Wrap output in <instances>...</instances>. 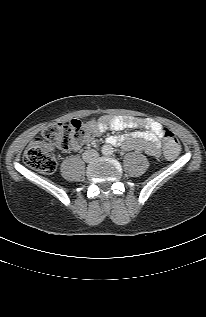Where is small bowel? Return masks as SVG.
<instances>
[{"label": "small bowel", "instance_id": "c3829d8e", "mask_svg": "<svg viewBox=\"0 0 206 317\" xmlns=\"http://www.w3.org/2000/svg\"><path fill=\"white\" fill-rule=\"evenodd\" d=\"M88 125L93 127L96 133H103L109 129L121 131L142 127L144 128L142 131L110 136L107 138V142L112 145H120L127 150L145 151L152 156L160 154V139L163 138L166 129L153 119L133 116H105L90 121ZM79 147L80 144H77L72 150H77Z\"/></svg>", "mask_w": 206, "mask_h": 317}]
</instances>
